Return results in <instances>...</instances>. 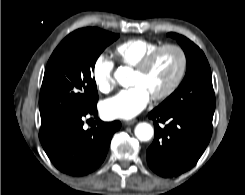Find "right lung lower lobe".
<instances>
[{
    "label": "right lung lower lobe",
    "mask_w": 245,
    "mask_h": 195,
    "mask_svg": "<svg viewBox=\"0 0 245 195\" xmlns=\"http://www.w3.org/2000/svg\"><path fill=\"white\" fill-rule=\"evenodd\" d=\"M87 114L97 117L96 105L80 113L41 119L39 138L46 154L57 169L72 176L97 169L106 157L112 135L121 127L119 121L97 119L84 130L83 118Z\"/></svg>",
    "instance_id": "1"
}]
</instances>
